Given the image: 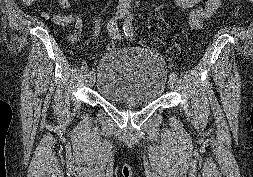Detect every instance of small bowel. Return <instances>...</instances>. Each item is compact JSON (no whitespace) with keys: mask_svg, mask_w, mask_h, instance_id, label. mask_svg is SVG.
I'll return each instance as SVG.
<instances>
[{"mask_svg":"<svg viewBox=\"0 0 253 177\" xmlns=\"http://www.w3.org/2000/svg\"><path fill=\"white\" fill-rule=\"evenodd\" d=\"M39 0H22L27 7L34 5ZM202 0H173V3L180 8L182 12H188V22L191 28H201L203 22L211 18L221 7V0H206L201 5ZM60 7L65 13H57L52 11H45L42 16L45 19H52V21L59 26L73 25V31L69 36L70 40H75L79 37L83 26L82 18L79 13L72 10L69 0H58ZM101 31V19L99 16L94 18L93 35L98 37Z\"/></svg>","mask_w":253,"mask_h":177,"instance_id":"1","label":"small bowel"}]
</instances>
